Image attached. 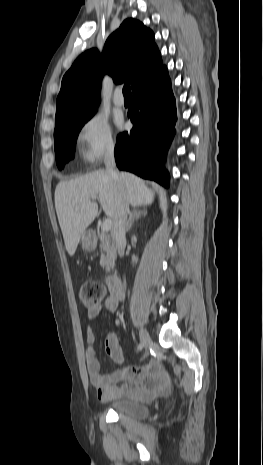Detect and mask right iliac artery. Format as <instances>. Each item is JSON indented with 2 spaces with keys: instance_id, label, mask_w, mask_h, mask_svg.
Returning <instances> with one entry per match:
<instances>
[{
  "instance_id": "1",
  "label": "right iliac artery",
  "mask_w": 263,
  "mask_h": 465,
  "mask_svg": "<svg viewBox=\"0 0 263 465\" xmlns=\"http://www.w3.org/2000/svg\"><path fill=\"white\" fill-rule=\"evenodd\" d=\"M143 348L142 344L140 343L137 347V350H141Z\"/></svg>"
}]
</instances>
